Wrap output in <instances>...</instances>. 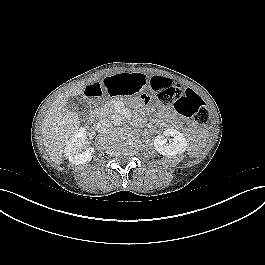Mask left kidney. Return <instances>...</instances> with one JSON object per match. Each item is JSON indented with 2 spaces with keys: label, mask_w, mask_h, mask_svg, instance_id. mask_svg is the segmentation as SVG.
<instances>
[{
  "label": "left kidney",
  "mask_w": 265,
  "mask_h": 265,
  "mask_svg": "<svg viewBox=\"0 0 265 265\" xmlns=\"http://www.w3.org/2000/svg\"><path fill=\"white\" fill-rule=\"evenodd\" d=\"M164 136L173 137V141L167 143ZM153 144L156 151L164 156L184 153L187 148L185 136L174 128H168L164 131L163 135L156 136Z\"/></svg>",
  "instance_id": "left-kidney-1"
}]
</instances>
